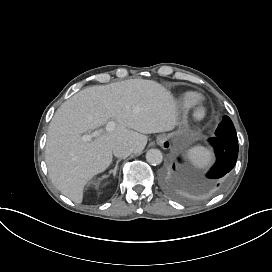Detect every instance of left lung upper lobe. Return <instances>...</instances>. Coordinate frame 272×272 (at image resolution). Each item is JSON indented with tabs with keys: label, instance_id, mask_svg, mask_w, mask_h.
Here are the masks:
<instances>
[{
	"label": "left lung upper lobe",
	"instance_id": "1",
	"mask_svg": "<svg viewBox=\"0 0 272 272\" xmlns=\"http://www.w3.org/2000/svg\"><path fill=\"white\" fill-rule=\"evenodd\" d=\"M215 135L231 141L238 142L235 127L228 116H224L223 120L218 125Z\"/></svg>",
	"mask_w": 272,
	"mask_h": 272
}]
</instances>
